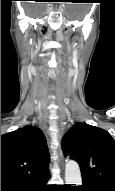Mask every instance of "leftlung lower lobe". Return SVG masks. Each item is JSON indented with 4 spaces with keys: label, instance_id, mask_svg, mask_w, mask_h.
Wrapping results in <instances>:
<instances>
[{
    "label": "left lung lower lobe",
    "instance_id": "left-lung-lower-lobe-1",
    "mask_svg": "<svg viewBox=\"0 0 115 191\" xmlns=\"http://www.w3.org/2000/svg\"><path fill=\"white\" fill-rule=\"evenodd\" d=\"M78 190L79 191H106L102 189L101 187L90 185V184H83L82 186L79 187Z\"/></svg>",
    "mask_w": 115,
    "mask_h": 191
}]
</instances>
